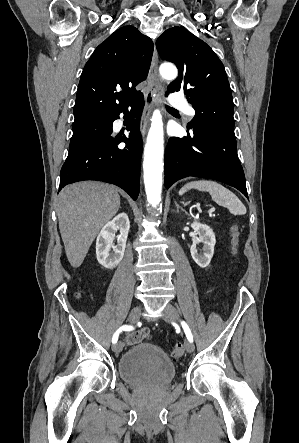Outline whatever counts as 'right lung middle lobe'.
I'll return each mask as SVG.
<instances>
[{"mask_svg":"<svg viewBox=\"0 0 299 443\" xmlns=\"http://www.w3.org/2000/svg\"><path fill=\"white\" fill-rule=\"evenodd\" d=\"M106 130L107 122L104 117H95L74 123L70 151L76 149L95 136L105 134Z\"/></svg>","mask_w":299,"mask_h":443,"instance_id":"obj_1","label":"right lung middle lobe"}]
</instances>
